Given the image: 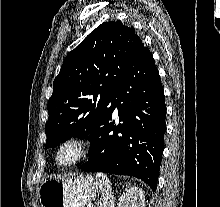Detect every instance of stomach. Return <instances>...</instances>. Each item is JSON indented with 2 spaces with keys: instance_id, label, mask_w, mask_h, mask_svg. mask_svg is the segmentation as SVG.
<instances>
[{
  "instance_id": "0dacf381",
  "label": "stomach",
  "mask_w": 220,
  "mask_h": 207,
  "mask_svg": "<svg viewBox=\"0 0 220 207\" xmlns=\"http://www.w3.org/2000/svg\"><path fill=\"white\" fill-rule=\"evenodd\" d=\"M100 191L98 180L89 174H70L47 179L39 187L41 207H85Z\"/></svg>"
}]
</instances>
